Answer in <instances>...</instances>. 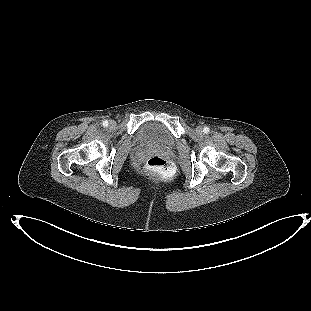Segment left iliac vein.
<instances>
[{
	"label": "left iliac vein",
	"instance_id": "4c4485c4",
	"mask_svg": "<svg viewBox=\"0 0 311 311\" xmlns=\"http://www.w3.org/2000/svg\"><path fill=\"white\" fill-rule=\"evenodd\" d=\"M196 132H197L198 134H202L203 128H202L201 126H198V127L196 128Z\"/></svg>",
	"mask_w": 311,
	"mask_h": 311
}]
</instances>
